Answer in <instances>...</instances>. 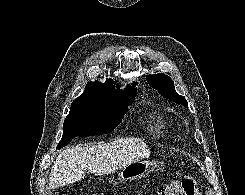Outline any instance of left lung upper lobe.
<instances>
[{
    "instance_id": "obj_1",
    "label": "left lung upper lobe",
    "mask_w": 245,
    "mask_h": 195,
    "mask_svg": "<svg viewBox=\"0 0 245 195\" xmlns=\"http://www.w3.org/2000/svg\"><path fill=\"white\" fill-rule=\"evenodd\" d=\"M147 81L151 87L157 89L158 92L165 98L183 104L188 107L186 99L178 95L175 91L174 83L170 77L165 74L148 75Z\"/></svg>"
}]
</instances>
